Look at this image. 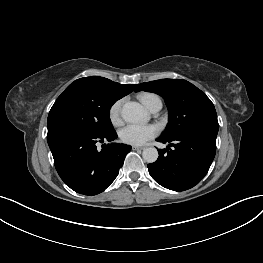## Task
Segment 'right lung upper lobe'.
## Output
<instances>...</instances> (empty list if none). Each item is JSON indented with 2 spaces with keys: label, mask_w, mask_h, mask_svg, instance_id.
Segmentation results:
<instances>
[{
  "label": "right lung upper lobe",
  "mask_w": 263,
  "mask_h": 263,
  "mask_svg": "<svg viewBox=\"0 0 263 263\" xmlns=\"http://www.w3.org/2000/svg\"><path fill=\"white\" fill-rule=\"evenodd\" d=\"M74 82L88 84L90 86L103 90L104 92L117 99H120L125 95L131 93L137 86V84H119L107 78L98 76L80 78Z\"/></svg>",
  "instance_id": "cb5924a9"
}]
</instances>
